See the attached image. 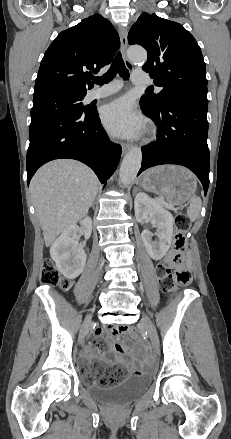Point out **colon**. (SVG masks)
Wrapping results in <instances>:
<instances>
[{
  "label": "colon",
  "mask_w": 231,
  "mask_h": 439,
  "mask_svg": "<svg viewBox=\"0 0 231 439\" xmlns=\"http://www.w3.org/2000/svg\"><path fill=\"white\" fill-rule=\"evenodd\" d=\"M190 227V221L184 214H178L175 218L174 248L175 254L172 260H167L157 266L156 273L164 291L172 292L178 285H188L191 282V273L183 265L187 257L185 232ZM40 281L45 286H61L68 288L69 282L58 273L52 261H45L42 265ZM118 333L133 334L130 326H121L115 329ZM100 342L97 344L99 346ZM126 370L114 365L107 370H98L96 381L101 386H112L120 383L126 376Z\"/></svg>",
  "instance_id": "1"
}]
</instances>
